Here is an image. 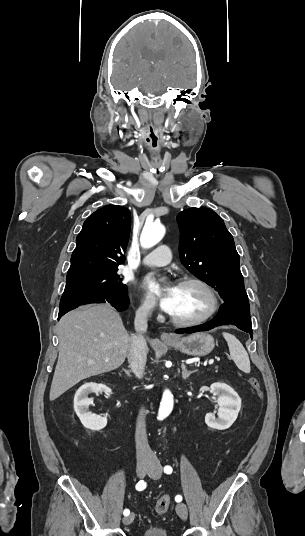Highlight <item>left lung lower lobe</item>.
Returning a JSON list of instances; mask_svg holds the SVG:
<instances>
[{
    "mask_svg": "<svg viewBox=\"0 0 305 536\" xmlns=\"http://www.w3.org/2000/svg\"><path fill=\"white\" fill-rule=\"evenodd\" d=\"M235 325L239 329L248 332L252 337L253 331L251 326L249 301L225 302L219 309L216 317L209 323L193 328L178 329L175 332L193 333L210 330L220 325Z\"/></svg>",
    "mask_w": 305,
    "mask_h": 536,
    "instance_id": "0a47b994",
    "label": "left lung lower lobe"
}]
</instances>
